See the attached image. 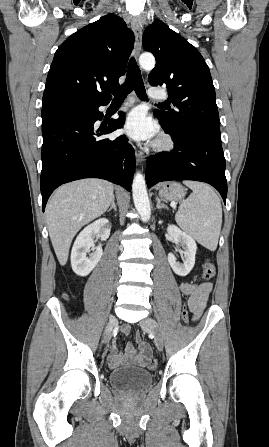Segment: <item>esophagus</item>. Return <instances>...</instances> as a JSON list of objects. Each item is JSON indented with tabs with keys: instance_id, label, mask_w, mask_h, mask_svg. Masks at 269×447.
Returning <instances> with one entry per match:
<instances>
[{
	"instance_id": "34e87169",
	"label": "esophagus",
	"mask_w": 269,
	"mask_h": 447,
	"mask_svg": "<svg viewBox=\"0 0 269 447\" xmlns=\"http://www.w3.org/2000/svg\"><path fill=\"white\" fill-rule=\"evenodd\" d=\"M131 28L134 32L135 35V45H134V57L137 58L140 54L141 51V47H142V36H143V31H142V26L141 23L139 21L138 18H134L131 22ZM135 156H136V161L138 165H143L146 157L144 152L135 149Z\"/></svg>"
}]
</instances>
